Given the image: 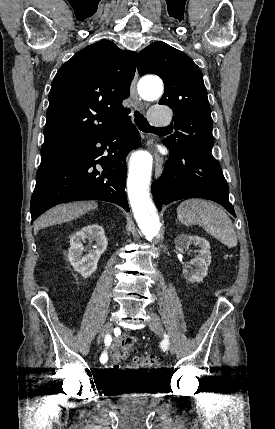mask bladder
I'll return each instance as SVG.
<instances>
[{
  "label": "bladder",
  "instance_id": "1",
  "mask_svg": "<svg viewBox=\"0 0 275 429\" xmlns=\"http://www.w3.org/2000/svg\"><path fill=\"white\" fill-rule=\"evenodd\" d=\"M106 386V398H116L117 403H146L158 393L153 377H106Z\"/></svg>",
  "mask_w": 275,
  "mask_h": 429
}]
</instances>
